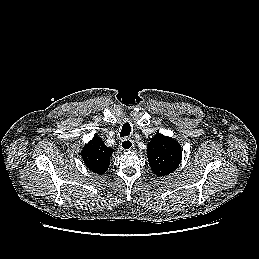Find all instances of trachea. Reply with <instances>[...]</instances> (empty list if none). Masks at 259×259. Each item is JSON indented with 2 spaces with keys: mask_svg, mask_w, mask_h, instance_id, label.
<instances>
[{
  "mask_svg": "<svg viewBox=\"0 0 259 259\" xmlns=\"http://www.w3.org/2000/svg\"><path fill=\"white\" fill-rule=\"evenodd\" d=\"M131 132L130 124L128 122L124 123L120 132V137L129 136Z\"/></svg>",
  "mask_w": 259,
  "mask_h": 259,
  "instance_id": "3493384b",
  "label": "trachea"
}]
</instances>
